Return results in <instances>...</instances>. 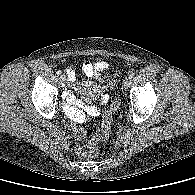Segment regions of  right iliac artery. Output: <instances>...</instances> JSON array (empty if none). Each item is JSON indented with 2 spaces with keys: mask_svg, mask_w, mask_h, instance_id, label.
Listing matches in <instances>:
<instances>
[{
  "mask_svg": "<svg viewBox=\"0 0 195 195\" xmlns=\"http://www.w3.org/2000/svg\"><path fill=\"white\" fill-rule=\"evenodd\" d=\"M56 74H57L58 76H60V75H61V71H60V70L56 71Z\"/></svg>",
  "mask_w": 195,
  "mask_h": 195,
  "instance_id": "82829eb1",
  "label": "right iliac artery"
}]
</instances>
